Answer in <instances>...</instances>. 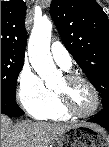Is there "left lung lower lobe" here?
I'll return each mask as SVG.
<instances>
[{
  "mask_svg": "<svg viewBox=\"0 0 109 147\" xmlns=\"http://www.w3.org/2000/svg\"><path fill=\"white\" fill-rule=\"evenodd\" d=\"M87 122L97 123L109 131V105L103 107L97 116L87 120Z\"/></svg>",
  "mask_w": 109,
  "mask_h": 147,
  "instance_id": "1",
  "label": "left lung lower lobe"
}]
</instances>
